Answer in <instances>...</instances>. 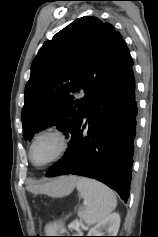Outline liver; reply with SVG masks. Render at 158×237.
Listing matches in <instances>:
<instances>
[{
	"label": "liver",
	"mask_w": 158,
	"mask_h": 237,
	"mask_svg": "<svg viewBox=\"0 0 158 237\" xmlns=\"http://www.w3.org/2000/svg\"><path fill=\"white\" fill-rule=\"evenodd\" d=\"M78 177L76 176H65L60 177L52 182H48L45 184H37L34 186H28L27 189L31 190L34 193L39 194H48L50 196H54L60 189L67 187V186H73L71 188V191L76 185Z\"/></svg>",
	"instance_id": "1"
}]
</instances>
